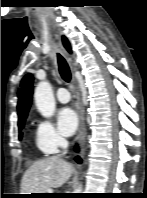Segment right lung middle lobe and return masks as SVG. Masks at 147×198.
<instances>
[{"mask_svg": "<svg viewBox=\"0 0 147 198\" xmlns=\"http://www.w3.org/2000/svg\"><path fill=\"white\" fill-rule=\"evenodd\" d=\"M24 123H25V119H23V120H21V121H18V128H19V130H20V132H19V139H21V137H22V132H21V130H22L23 127H24Z\"/></svg>", "mask_w": 147, "mask_h": 198, "instance_id": "obj_1", "label": "right lung middle lobe"}]
</instances>
